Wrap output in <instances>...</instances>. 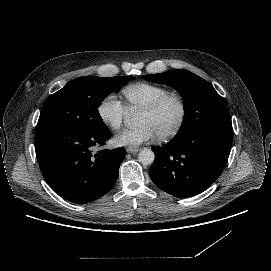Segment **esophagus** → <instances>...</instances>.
<instances>
[{
  "instance_id": "esophagus-1",
  "label": "esophagus",
  "mask_w": 271,
  "mask_h": 271,
  "mask_svg": "<svg viewBox=\"0 0 271 271\" xmlns=\"http://www.w3.org/2000/svg\"><path fill=\"white\" fill-rule=\"evenodd\" d=\"M139 150H140L139 148H130V147L126 148L127 153H136Z\"/></svg>"
}]
</instances>
